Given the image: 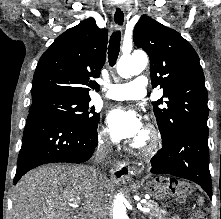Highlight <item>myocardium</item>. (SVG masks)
Instances as JSON below:
<instances>
[{"mask_svg":"<svg viewBox=\"0 0 221 219\" xmlns=\"http://www.w3.org/2000/svg\"><path fill=\"white\" fill-rule=\"evenodd\" d=\"M161 144L159 131L153 125H147L138 141L128 144V149L138 155H150L157 151Z\"/></svg>","mask_w":221,"mask_h":219,"instance_id":"1","label":"myocardium"}]
</instances>
